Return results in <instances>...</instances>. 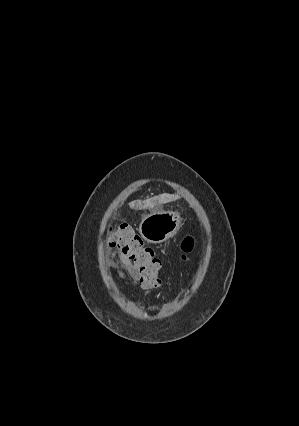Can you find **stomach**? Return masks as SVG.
Masks as SVG:
<instances>
[{"mask_svg": "<svg viewBox=\"0 0 299 426\" xmlns=\"http://www.w3.org/2000/svg\"><path fill=\"white\" fill-rule=\"evenodd\" d=\"M178 211H156L145 215L139 225V233L150 243H162L173 237L183 225Z\"/></svg>", "mask_w": 299, "mask_h": 426, "instance_id": "obj_1", "label": "stomach"}]
</instances>
